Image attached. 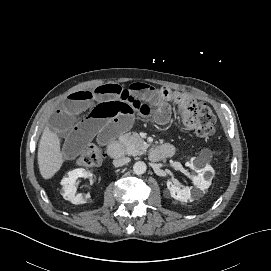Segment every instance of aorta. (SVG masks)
<instances>
[{
    "instance_id": "762f6f07",
    "label": "aorta",
    "mask_w": 271,
    "mask_h": 271,
    "mask_svg": "<svg viewBox=\"0 0 271 271\" xmlns=\"http://www.w3.org/2000/svg\"><path fill=\"white\" fill-rule=\"evenodd\" d=\"M146 170H147V166H146L145 162H143V161H137L133 165V171L137 175L144 174L146 172Z\"/></svg>"
}]
</instances>
